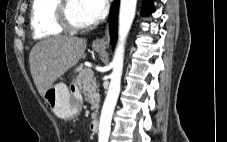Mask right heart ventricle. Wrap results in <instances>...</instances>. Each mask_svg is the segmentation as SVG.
I'll return each instance as SVG.
<instances>
[{
  "label": "right heart ventricle",
  "mask_w": 227,
  "mask_h": 142,
  "mask_svg": "<svg viewBox=\"0 0 227 142\" xmlns=\"http://www.w3.org/2000/svg\"><path fill=\"white\" fill-rule=\"evenodd\" d=\"M60 0H33L30 25L35 39L60 36L65 33L56 20V8Z\"/></svg>",
  "instance_id": "e07e8e85"
}]
</instances>
